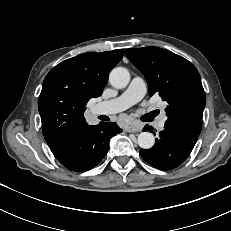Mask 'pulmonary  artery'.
I'll list each match as a JSON object with an SVG mask.
<instances>
[{
	"instance_id": "obj_1",
	"label": "pulmonary artery",
	"mask_w": 231,
	"mask_h": 231,
	"mask_svg": "<svg viewBox=\"0 0 231 231\" xmlns=\"http://www.w3.org/2000/svg\"><path fill=\"white\" fill-rule=\"evenodd\" d=\"M146 93V84L141 77H134L128 88L118 97L98 103L92 108V113L115 114L126 110L135 103L139 102ZM167 120V116L163 113L158 121V128L162 129Z\"/></svg>"
}]
</instances>
